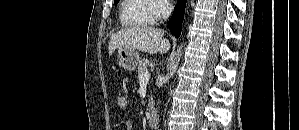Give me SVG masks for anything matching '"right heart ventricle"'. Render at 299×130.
I'll use <instances>...</instances> for the list:
<instances>
[{"label":"right heart ventricle","mask_w":299,"mask_h":130,"mask_svg":"<svg viewBox=\"0 0 299 130\" xmlns=\"http://www.w3.org/2000/svg\"><path fill=\"white\" fill-rule=\"evenodd\" d=\"M155 4L152 0H124L120 10L122 25L147 27L156 23Z\"/></svg>","instance_id":"e07e8e85"}]
</instances>
